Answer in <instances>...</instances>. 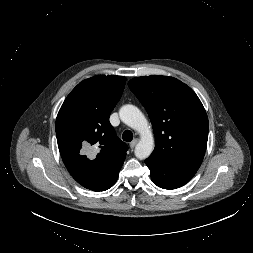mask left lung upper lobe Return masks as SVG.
Returning <instances> with one entry per match:
<instances>
[{"instance_id": "1", "label": "left lung upper lobe", "mask_w": 253, "mask_h": 253, "mask_svg": "<svg viewBox=\"0 0 253 253\" xmlns=\"http://www.w3.org/2000/svg\"><path fill=\"white\" fill-rule=\"evenodd\" d=\"M128 86L153 126L156 144L149 159L193 177L208 140V117L198 96L180 80L161 75L135 77Z\"/></svg>"}]
</instances>
